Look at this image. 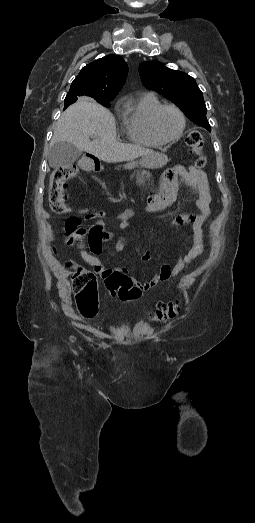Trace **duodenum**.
<instances>
[{
	"instance_id": "obj_1",
	"label": "duodenum",
	"mask_w": 255,
	"mask_h": 523,
	"mask_svg": "<svg viewBox=\"0 0 255 523\" xmlns=\"http://www.w3.org/2000/svg\"><path fill=\"white\" fill-rule=\"evenodd\" d=\"M79 166L84 171H99L100 161L96 156L87 154L81 158V160L79 161Z\"/></svg>"
}]
</instances>
